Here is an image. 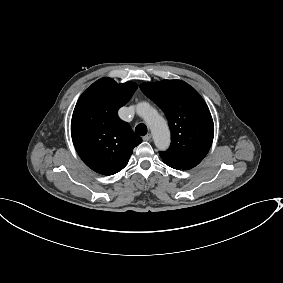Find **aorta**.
<instances>
[{
  "label": "aorta",
  "mask_w": 283,
  "mask_h": 283,
  "mask_svg": "<svg viewBox=\"0 0 283 283\" xmlns=\"http://www.w3.org/2000/svg\"><path fill=\"white\" fill-rule=\"evenodd\" d=\"M136 110L148 124L156 147L159 150H166L170 145V131L166 120L147 102H140Z\"/></svg>",
  "instance_id": "1"
}]
</instances>
